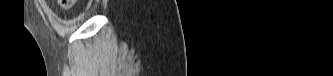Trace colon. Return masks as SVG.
Returning <instances> with one entry per match:
<instances>
[{
    "label": "colon",
    "mask_w": 333,
    "mask_h": 76,
    "mask_svg": "<svg viewBox=\"0 0 333 76\" xmlns=\"http://www.w3.org/2000/svg\"><path fill=\"white\" fill-rule=\"evenodd\" d=\"M75 0H59V5L64 9H69L75 4Z\"/></svg>",
    "instance_id": "1"
}]
</instances>
